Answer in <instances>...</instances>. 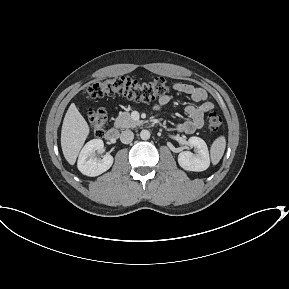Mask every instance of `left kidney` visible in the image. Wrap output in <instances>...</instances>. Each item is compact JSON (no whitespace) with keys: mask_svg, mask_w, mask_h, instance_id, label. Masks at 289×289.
<instances>
[{"mask_svg":"<svg viewBox=\"0 0 289 289\" xmlns=\"http://www.w3.org/2000/svg\"><path fill=\"white\" fill-rule=\"evenodd\" d=\"M190 147L194 148V153L183 151L179 153V165L188 171H204L210 165L209 151L205 141L199 137H190L187 141Z\"/></svg>","mask_w":289,"mask_h":289,"instance_id":"obj_1","label":"left kidney"}]
</instances>
